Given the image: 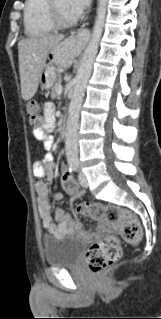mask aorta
<instances>
[{
	"mask_svg": "<svg viewBox=\"0 0 161 319\" xmlns=\"http://www.w3.org/2000/svg\"><path fill=\"white\" fill-rule=\"evenodd\" d=\"M108 0H98L97 17L91 39L83 53V57L73 80V95L69 105V116L65 134V150L69 166H76L78 160L77 131L80 109L87 83L92 73L93 64L98 52L99 42L103 33Z\"/></svg>",
	"mask_w": 161,
	"mask_h": 319,
	"instance_id": "762f6f07",
	"label": "aorta"
}]
</instances>
